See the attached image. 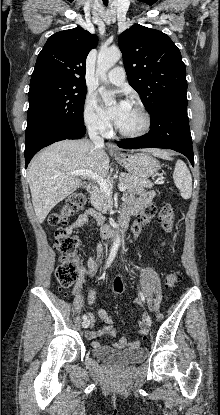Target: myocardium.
Instances as JSON below:
<instances>
[{
  "mask_svg": "<svg viewBox=\"0 0 220 415\" xmlns=\"http://www.w3.org/2000/svg\"><path fill=\"white\" fill-rule=\"evenodd\" d=\"M130 104L134 106L142 115V118H143L142 127L135 131H127L116 126V130L120 135L124 137H128V138L141 137L145 135L151 128V124H152L151 115L149 111L147 110V108L141 102L132 100L130 101Z\"/></svg>",
  "mask_w": 220,
  "mask_h": 415,
  "instance_id": "1",
  "label": "myocardium"
}]
</instances>
